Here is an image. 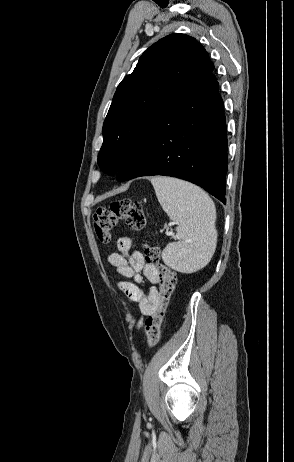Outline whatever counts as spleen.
<instances>
[{"mask_svg":"<svg viewBox=\"0 0 294 462\" xmlns=\"http://www.w3.org/2000/svg\"><path fill=\"white\" fill-rule=\"evenodd\" d=\"M151 183L163 210L178 224L176 231L181 239L165 247L164 263L182 273L200 270L208 264L216 249L213 200L201 188L177 178L157 176Z\"/></svg>","mask_w":294,"mask_h":462,"instance_id":"spleen-1","label":"spleen"}]
</instances>
